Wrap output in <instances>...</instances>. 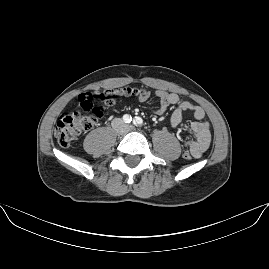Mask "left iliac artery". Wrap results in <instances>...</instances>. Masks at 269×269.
<instances>
[{"mask_svg":"<svg viewBox=\"0 0 269 269\" xmlns=\"http://www.w3.org/2000/svg\"><path fill=\"white\" fill-rule=\"evenodd\" d=\"M133 123H134L135 126H142V124H143V120H142V118H140V117H135V118L133 119Z\"/></svg>","mask_w":269,"mask_h":269,"instance_id":"44dca946","label":"left iliac artery"}]
</instances>
